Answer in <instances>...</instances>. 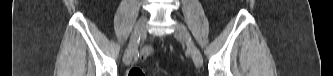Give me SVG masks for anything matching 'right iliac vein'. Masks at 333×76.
Segmentation results:
<instances>
[{
	"label": "right iliac vein",
	"instance_id": "63e3f726",
	"mask_svg": "<svg viewBox=\"0 0 333 76\" xmlns=\"http://www.w3.org/2000/svg\"><path fill=\"white\" fill-rule=\"evenodd\" d=\"M146 23H147L146 16H142L137 21V23L134 27L128 48L126 49L125 55H124V63L126 65H129L133 59L138 42L145 32Z\"/></svg>",
	"mask_w": 333,
	"mask_h": 76
}]
</instances>
